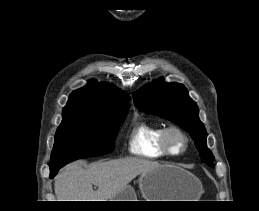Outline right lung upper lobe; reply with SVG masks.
<instances>
[{"instance_id":"right-lung-upper-lobe-1","label":"right lung upper lobe","mask_w":259,"mask_h":211,"mask_svg":"<svg viewBox=\"0 0 259 211\" xmlns=\"http://www.w3.org/2000/svg\"><path fill=\"white\" fill-rule=\"evenodd\" d=\"M130 97L109 84L90 80L89 85L70 94L63 115L72 112L94 114L127 113Z\"/></svg>"}]
</instances>
